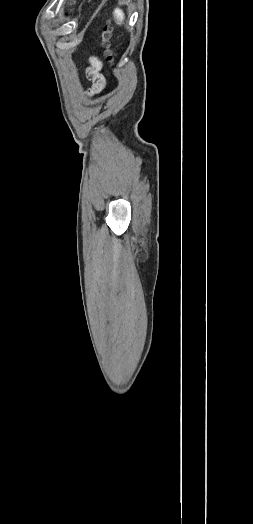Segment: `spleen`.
<instances>
[{
	"instance_id": "spleen-1",
	"label": "spleen",
	"mask_w": 253,
	"mask_h": 524,
	"mask_svg": "<svg viewBox=\"0 0 253 524\" xmlns=\"http://www.w3.org/2000/svg\"><path fill=\"white\" fill-rule=\"evenodd\" d=\"M114 16L119 25L123 24L124 21V13L121 9H115Z\"/></svg>"
}]
</instances>
